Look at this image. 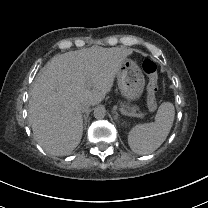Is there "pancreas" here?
I'll use <instances>...</instances> for the list:
<instances>
[{
	"label": "pancreas",
	"instance_id": "cf45deb5",
	"mask_svg": "<svg viewBox=\"0 0 208 208\" xmlns=\"http://www.w3.org/2000/svg\"><path fill=\"white\" fill-rule=\"evenodd\" d=\"M121 106H122V108H123L125 111L131 112V113H135V112L138 110V107H137V106L131 107V106H130L129 104H127V103H122Z\"/></svg>",
	"mask_w": 208,
	"mask_h": 208
}]
</instances>
